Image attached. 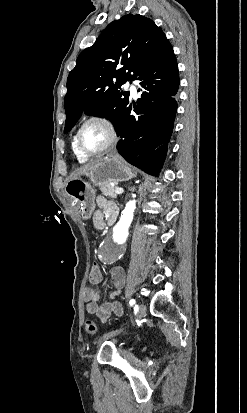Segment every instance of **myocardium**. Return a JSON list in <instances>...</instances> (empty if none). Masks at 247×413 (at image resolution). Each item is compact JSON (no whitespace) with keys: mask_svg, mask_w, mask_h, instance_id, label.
<instances>
[{"mask_svg":"<svg viewBox=\"0 0 247 413\" xmlns=\"http://www.w3.org/2000/svg\"><path fill=\"white\" fill-rule=\"evenodd\" d=\"M91 124H97V125H101L104 126L106 128L109 129L110 131V137L109 140L107 141V143L102 146L100 149L96 150V151H87L86 149H84L80 143V134L83 131L84 128H86L87 126L91 125ZM119 140V130L117 125L115 124V122L113 120H111L110 118L106 117V116H101V115H95L90 117L89 119H87L77 130L76 134H75V145L76 148L78 150V152L83 155L86 158H92V157H96L98 155H101L102 153H104L105 151H107L108 149L112 148Z\"/></svg>","mask_w":247,"mask_h":413,"instance_id":"myocardium-1","label":"myocardium"}]
</instances>
